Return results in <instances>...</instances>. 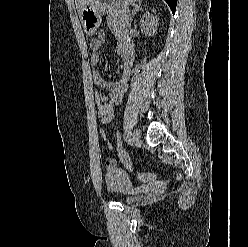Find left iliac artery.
I'll return each instance as SVG.
<instances>
[{
  "instance_id": "44dca946",
  "label": "left iliac artery",
  "mask_w": 248,
  "mask_h": 247,
  "mask_svg": "<svg viewBox=\"0 0 248 247\" xmlns=\"http://www.w3.org/2000/svg\"><path fill=\"white\" fill-rule=\"evenodd\" d=\"M129 135H130V132L126 130V132H125V139L128 138Z\"/></svg>"
}]
</instances>
